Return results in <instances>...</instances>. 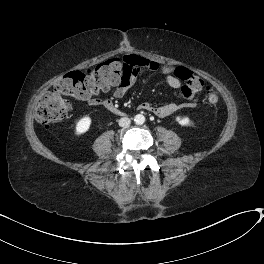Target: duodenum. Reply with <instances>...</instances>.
I'll list each match as a JSON object with an SVG mask.
<instances>
[{
    "label": "duodenum",
    "instance_id": "410a0bca",
    "mask_svg": "<svg viewBox=\"0 0 264 264\" xmlns=\"http://www.w3.org/2000/svg\"><path fill=\"white\" fill-rule=\"evenodd\" d=\"M104 106L105 108L110 111L111 113L113 114H116V115H123L125 112L117 107L116 105H114L113 103H109V102H104Z\"/></svg>",
    "mask_w": 264,
    "mask_h": 264
}]
</instances>
